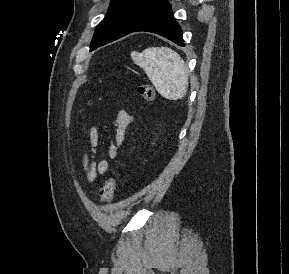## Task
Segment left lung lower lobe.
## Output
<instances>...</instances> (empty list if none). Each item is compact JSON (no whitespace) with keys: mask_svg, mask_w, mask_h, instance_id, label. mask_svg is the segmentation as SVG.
Returning a JSON list of instances; mask_svg holds the SVG:
<instances>
[{"mask_svg":"<svg viewBox=\"0 0 289 274\" xmlns=\"http://www.w3.org/2000/svg\"><path fill=\"white\" fill-rule=\"evenodd\" d=\"M138 31L155 33L171 40L179 46H184L181 27L175 20L168 2L153 12L132 32Z\"/></svg>","mask_w":289,"mask_h":274,"instance_id":"1","label":"left lung lower lobe"}]
</instances>
